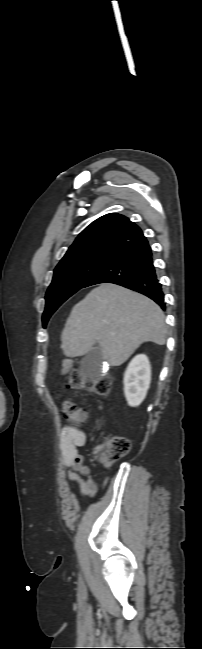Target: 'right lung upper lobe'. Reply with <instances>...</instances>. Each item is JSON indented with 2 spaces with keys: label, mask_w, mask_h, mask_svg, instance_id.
Returning a JSON list of instances; mask_svg holds the SVG:
<instances>
[{
  "label": "right lung upper lobe",
  "mask_w": 202,
  "mask_h": 649,
  "mask_svg": "<svg viewBox=\"0 0 202 649\" xmlns=\"http://www.w3.org/2000/svg\"><path fill=\"white\" fill-rule=\"evenodd\" d=\"M144 239L141 229L127 217L110 213L98 218L84 229L63 259L94 251L118 254Z\"/></svg>",
  "instance_id": "right-lung-upper-lobe-1"
}]
</instances>
